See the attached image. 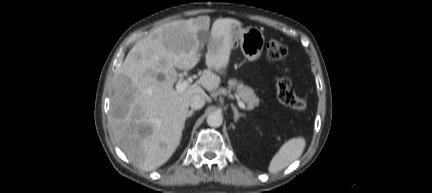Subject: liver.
Wrapping results in <instances>:
<instances>
[{"mask_svg": "<svg viewBox=\"0 0 432 193\" xmlns=\"http://www.w3.org/2000/svg\"><path fill=\"white\" fill-rule=\"evenodd\" d=\"M234 26L241 22L231 18L213 22L205 56L208 69L182 92L173 88L176 69L190 70L199 62L200 42L210 27L208 16L164 24L129 51L113 79L109 123L118 146L135 165L154 170L173 155L191 98L200 94L210 101L204 89L213 92L220 85L213 70L229 63Z\"/></svg>", "mask_w": 432, "mask_h": 193, "instance_id": "6515ba94", "label": "liver"}]
</instances>
